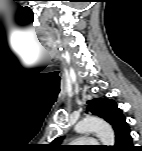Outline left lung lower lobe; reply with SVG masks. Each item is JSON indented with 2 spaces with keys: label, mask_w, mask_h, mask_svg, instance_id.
<instances>
[{
  "label": "left lung lower lobe",
  "mask_w": 142,
  "mask_h": 151,
  "mask_svg": "<svg viewBox=\"0 0 142 151\" xmlns=\"http://www.w3.org/2000/svg\"><path fill=\"white\" fill-rule=\"evenodd\" d=\"M112 151H134L132 145V137L130 135V129L127 128L116 138L115 146L111 147Z\"/></svg>",
  "instance_id": "obj_1"
}]
</instances>
